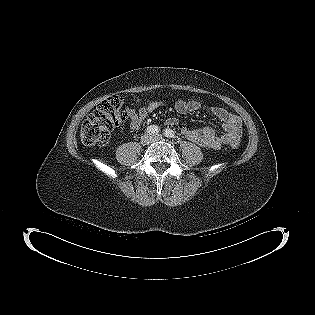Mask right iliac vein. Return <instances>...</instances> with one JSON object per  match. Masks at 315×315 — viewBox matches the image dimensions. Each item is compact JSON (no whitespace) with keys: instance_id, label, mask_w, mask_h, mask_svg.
I'll use <instances>...</instances> for the list:
<instances>
[{"instance_id":"63e3f726","label":"right iliac vein","mask_w":315,"mask_h":315,"mask_svg":"<svg viewBox=\"0 0 315 315\" xmlns=\"http://www.w3.org/2000/svg\"><path fill=\"white\" fill-rule=\"evenodd\" d=\"M151 141H152V137L148 134L143 135L140 140L142 145H148L151 143Z\"/></svg>"}]
</instances>
